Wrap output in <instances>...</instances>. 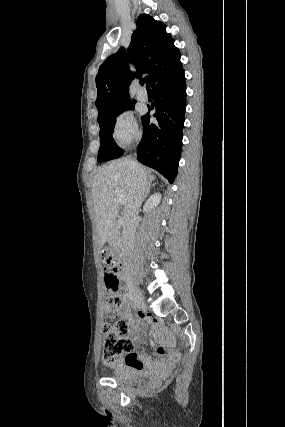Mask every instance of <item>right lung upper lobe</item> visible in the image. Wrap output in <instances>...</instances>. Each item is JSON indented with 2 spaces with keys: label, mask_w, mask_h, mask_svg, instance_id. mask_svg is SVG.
Returning a JSON list of instances; mask_svg holds the SVG:
<instances>
[{
  "label": "right lung upper lobe",
  "mask_w": 285,
  "mask_h": 427,
  "mask_svg": "<svg viewBox=\"0 0 285 427\" xmlns=\"http://www.w3.org/2000/svg\"><path fill=\"white\" fill-rule=\"evenodd\" d=\"M127 51L128 58L125 48L121 47L99 67L96 76L98 122L135 103L130 101L128 90L134 78L148 73L146 79L153 89L183 71L181 54L166 32V26L147 14L139 15ZM128 60L136 66V75L131 73Z\"/></svg>",
  "instance_id": "right-lung-upper-lobe-1"
}]
</instances>
